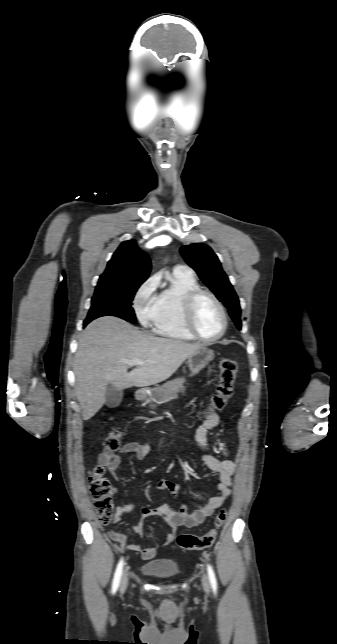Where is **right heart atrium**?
Masks as SVG:
<instances>
[{"mask_svg": "<svg viewBox=\"0 0 337 644\" xmlns=\"http://www.w3.org/2000/svg\"><path fill=\"white\" fill-rule=\"evenodd\" d=\"M157 279L149 278L136 292L134 308L139 321L143 325L152 323L157 307Z\"/></svg>", "mask_w": 337, "mask_h": 644, "instance_id": "right-heart-atrium-1", "label": "right heart atrium"}]
</instances>
